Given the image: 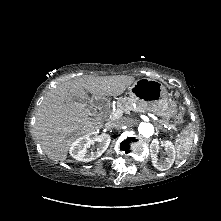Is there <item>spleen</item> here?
<instances>
[{
	"mask_svg": "<svg viewBox=\"0 0 221 221\" xmlns=\"http://www.w3.org/2000/svg\"><path fill=\"white\" fill-rule=\"evenodd\" d=\"M193 138L194 133L188 127L185 130H183L181 137L175 140L178 159L182 160L190 153L193 144Z\"/></svg>",
	"mask_w": 221,
	"mask_h": 221,
	"instance_id": "obj_1",
	"label": "spleen"
}]
</instances>
